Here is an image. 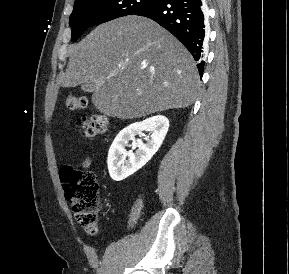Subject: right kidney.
Here are the masks:
<instances>
[{
	"label": "right kidney",
	"mask_w": 289,
	"mask_h": 274,
	"mask_svg": "<svg viewBox=\"0 0 289 274\" xmlns=\"http://www.w3.org/2000/svg\"><path fill=\"white\" fill-rule=\"evenodd\" d=\"M169 128V120L163 115H156L141 122L125 127L114 139L108 152V171L115 181H121L142 168L158 151ZM149 131L146 142L136 140L135 136ZM129 141L138 147L136 152L127 151Z\"/></svg>",
	"instance_id": "right-kidney-1"
}]
</instances>
